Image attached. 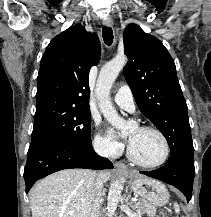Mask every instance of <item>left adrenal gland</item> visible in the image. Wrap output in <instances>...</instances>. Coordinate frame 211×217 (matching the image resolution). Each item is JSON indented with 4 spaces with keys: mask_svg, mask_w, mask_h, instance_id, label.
<instances>
[{
    "mask_svg": "<svg viewBox=\"0 0 211 217\" xmlns=\"http://www.w3.org/2000/svg\"><path fill=\"white\" fill-rule=\"evenodd\" d=\"M126 204L129 205L131 208L134 209V205L133 203L130 201V194L128 195V197L125 200Z\"/></svg>",
    "mask_w": 211,
    "mask_h": 217,
    "instance_id": "obj_1",
    "label": "left adrenal gland"
}]
</instances>
